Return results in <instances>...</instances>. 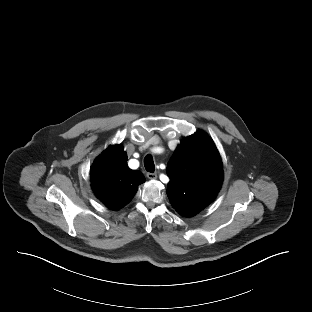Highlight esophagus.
I'll return each instance as SVG.
<instances>
[{"label":"esophagus","instance_id":"esophagus-1","mask_svg":"<svg viewBox=\"0 0 312 312\" xmlns=\"http://www.w3.org/2000/svg\"><path fill=\"white\" fill-rule=\"evenodd\" d=\"M147 177L151 180H155L157 178V174L156 173H150L148 172L147 174Z\"/></svg>","mask_w":312,"mask_h":312}]
</instances>
